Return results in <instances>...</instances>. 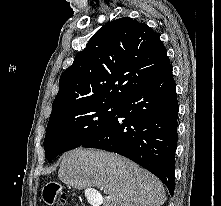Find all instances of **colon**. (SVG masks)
Wrapping results in <instances>:
<instances>
[{
  "instance_id": "obj_1",
  "label": "colon",
  "mask_w": 221,
  "mask_h": 206,
  "mask_svg": "<svg viewBox=\"0 0 221 206\" xmlns=\"http://www.w3.org/2000/svg\"><path fill=\"white\" fill-rule=\"evenodd\" d=\"M62 197L64 198V195ZM58 206H64L63 200L59 201Z\"/></svg>"
}]
</instances>
